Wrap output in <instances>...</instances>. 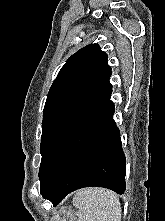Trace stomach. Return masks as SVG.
I'll return each mask as SVG.
<instances>
[{
	"mask_svg": "<svg viewBox=\"0 0 165 221\" xmlns=\"http://www.w3.org/2000/svg\"><path fill=\"white\" fill-rule=\"evenodd\" d=\"M58 216L59 217H67V221H73V217L68 212H59Z\"/></svg>",
	"mask_w": 165,
	"mask_h": 221,
	"instance_id": "obj_1",
	"label": "stomach"
}]
</instances>
